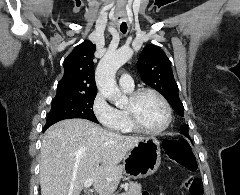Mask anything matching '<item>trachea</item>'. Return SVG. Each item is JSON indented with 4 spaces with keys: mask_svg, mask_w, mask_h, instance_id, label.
Here are the masks:
<instances>
[{
    "mask_svg": "<svg viewBox=\"0 0 240 195\" xmlns=\"http://www.w3.org/2000/svg\"><path fill=\"white\" fill-rule=\"evenodd\" d=\"M120 30H121L122 33L125 34L127 32V25H121Z\"/></svg>",
    "mask_w": 240,
    "mask_h": 195,
    "instance_id": "obj_1",
    "label": "trachea"
}]
</instances>
